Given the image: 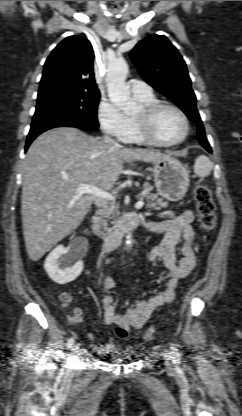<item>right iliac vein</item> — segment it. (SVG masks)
I'll return each mask as SVG.
<instances>
[{"label":"right iliac vein","mask_w":242,"mask_h":416,"mask_svg":"<svg viewBox=\"0 0 242 416\" xmlns=\"http://www.w3.org/2000/svg\"><path fill=\"white\" fill-rule=\"evenodd\" d=\"M78 355H79V348H78V346L75 345L72 348L71 357H72V359H76L78 357Z\"/></svg>","instance_id":"1"}]
</instances>
